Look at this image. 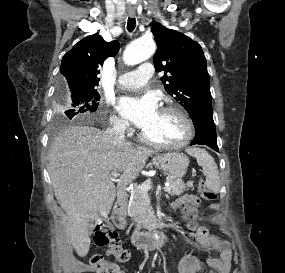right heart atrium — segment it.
<instances>
[{
  "label": "right heart atrium",
  "instance_id": "1",
  "mask_svg": "<svg viewBox=\"0 0 285 273\" xmlns=\"http://www.w3.org/2000/svg\"><path fill=\"white\" fill-rule=\"evenodd\" d=\"M110 124L119 133H124L129 129L128 123L116 115L110 117Z\"/></svg>",
  "mask_w": 285,
  "mask_h": 273
}]
</instances>
